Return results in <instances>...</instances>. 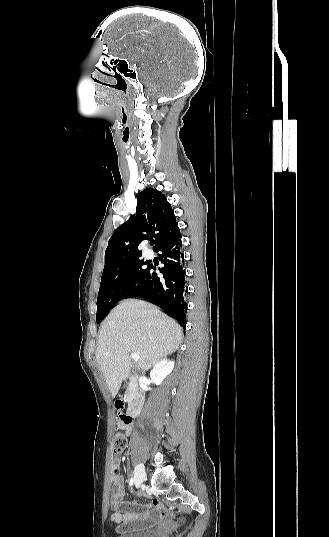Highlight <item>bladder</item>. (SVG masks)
Returning a JSON list of instances; mask_svg holds the SVG:
<instances>
[{
  "label": "bladder",
  "instance_id": "obj_1",
  "mask_svg": "<svg viewBox=\"0 0 329 537\" xmlns=\"http://www.w3.org/2000/svg\"><path fill=\"white\" fill-rule=\"evenodd\" d=\"M117 537H155L151 530H137L119 534Z\"/></svg>",
  "mask_w": 329,
  "mask_h": 537
}]
</instances>
